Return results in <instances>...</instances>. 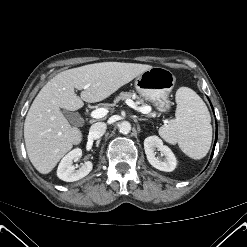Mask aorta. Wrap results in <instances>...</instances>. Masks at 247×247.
Instances as JSON below:
<instances>
[{
    "mask_svg": "<svg viewBox=\"0 0 247 247\" xmlns=\"http://www.w3.org/2000/svg\"><path fill=\"white\" fill-rule=\"evenodd\" d=\"M119 131L122 134H128L131 131V124L128 121H123L119 124Z\"/></svg>",
    "mask_w": 247,
    "mask_h": 247,
    "instance_id": "1",
    "label": "aorta"
}]
</instances>
